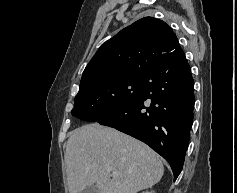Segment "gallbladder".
I'll list each match as a JSON object with an SVG mask.
<instances>
[{
  "label": "gallbladder",
  "mask_w": 237,
  "mask_h": 193,
  "mask_svg": "<svg viewBox=\"0 0 237 193\" xmlns=\"http://www.w3.org/2000/svg\"><path fill=\"white\" fill-rule=\"evenodd\" d=\"M80 193H100L99 188L96 186V184H93L91 186L86 187L84 190H82Z\"/></svg>",
  "instance_id": "1"
}]
</instances>
